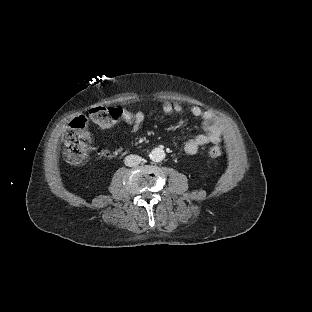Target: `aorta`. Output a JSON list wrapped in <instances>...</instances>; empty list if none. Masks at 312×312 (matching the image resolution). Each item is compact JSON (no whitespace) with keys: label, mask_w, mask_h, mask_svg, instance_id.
Segmentation results:
<instances>
[{"label":"aorta","mask_w":312,"mask_h":312,"mask_svg":"<svg viewBox=\"0 0 312 312\" xmlns=\"http://www.w3.org/2000/svg\"><path fill=\"white\" fill-rule=\"evenodd\" d=\"M165 158V152L162 148H154L151 151L150 159L154 162H161Z\"/></svg>","instance_id":"762f6f07"}]
</instances>
